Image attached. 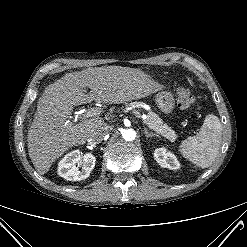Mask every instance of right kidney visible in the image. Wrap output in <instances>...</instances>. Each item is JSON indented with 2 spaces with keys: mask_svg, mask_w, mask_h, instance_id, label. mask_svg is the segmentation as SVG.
Here are the masks:
<instances>
[{
  "mask_svg": "<svg viewBox=\"0 0 247 247\" xmlns=\"http://www.w3.org/2000/svg\"><path fill=\"white\" fill-rule=\"evenodd\" d=\"M83 163L82 170L77 167V163ZM96 158L86 153L82 157L79 150H74L66 154L58 164V174L69 181H80L89 177L95 166Z\"/></svg>",
  "mask_w": 247,
  "mask_h": 247,
  "instance_id": "ca27d5eb",
  "label": "right kidney"
}]
</instances>
